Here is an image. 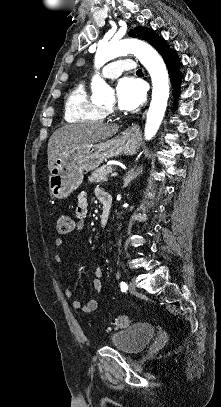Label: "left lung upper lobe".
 <instances>
[{
	"instance_id": "1",
	"label": "left lung upper lobe",
	"mask_w": 221,
	"mask_h": 407,
	"mask_svg": "<svg viewBox=\"0 0 221 407\" xmlns=\"http://www.w3.org/2000/svg\"><path fill=\"white\" fill-rule=\"evenodd\" d=\"M129 35L131 37H138L148 41L154 48L156 42L160 38L158 35L155 34L153 30L144 27H136L135 30H131L129 32Z\"/></svg>"
}]
</instances>
